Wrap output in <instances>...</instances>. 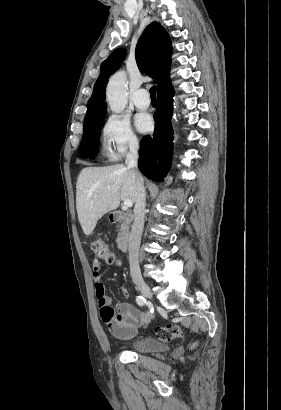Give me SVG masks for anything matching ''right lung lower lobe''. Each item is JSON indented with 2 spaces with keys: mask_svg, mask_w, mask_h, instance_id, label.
I'll list each match as a JSON object with an SVG mask.
<instances>
[{
  "mask_svg": "<svg viewBox=\"0 0 281 410\" xmlns=\"http://www.w3.org/2000/svg\"><path fill=\"white\" fill-rule=\"evenodd\" d=\"M173 96L174 90L171 85L158 91L154 134L141 140L139 152L140 171L149 179L159 182L163 181L171 164Z\"/></svg>",
  "mask_w": 281,
  "mask_h": 410,
  "instance_id": "1",
  "label": "right lung lower lobe"
}]
</instances>
